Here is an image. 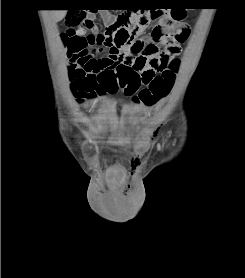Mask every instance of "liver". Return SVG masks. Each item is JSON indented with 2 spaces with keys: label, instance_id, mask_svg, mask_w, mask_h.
Listing matches in <instances>:
<instances>
[{
  "label": "liver",
  "instance_id": "obj_1",
  "mask_svg": "<svg viewBox=\"0 0 245 278\" xmlns=\"http://www.w3.org/2000/svg\"><path fill=\"white\" fill-rule=\"evenodd\" d=\"M51 12H52L51 15L54 18V21L58 22V21H61L65 17L67 10H52Z\"/></svg>",
  "mask_w": 245,
  "mask_h": 278
}]
</instances>
